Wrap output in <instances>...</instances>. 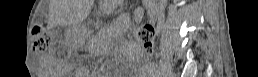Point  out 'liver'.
<instances>
[{
    "instance_id": "1",
    "label": "liver",
    "mask_w": 258,
    "mask_h": 77,
    "mask_svg": "<svg viewBox=\"0 0 258 77\" xmlns=\"http://www.w3.org/2000/svg\"><path fill=\"white\" fill-rule=\"evenodd\" d=\"M70 19H71V21H75V12H73V14H71Z\"/></svg>"
}]
</instances>
